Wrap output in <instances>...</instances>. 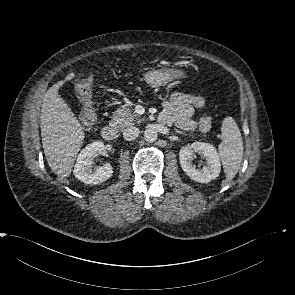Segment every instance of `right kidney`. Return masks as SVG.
Returning <instances> with one entry per match:
<instances>
[{
	"mask_svg": "<svg viewBox=\"0 0 295 295\" xmlns=\"http://www.w3.org/2000/svg\"><path fill=\"white\" fill-rule=\"evenodd\" d=\"M111 149L110 145H105L102 141H95L88 144L78 155L77 162L74 167V175L77 179L85 184H99L109 179L113 174V168L110 164L105 163L92 169V156L95 153L106 155Z\"/></svg>",
	"mask_w": 295,
	"mask_h": 295,
	"instance_id": "ca27d5eb",
	"label": "right kidney"
}]
</instances>
